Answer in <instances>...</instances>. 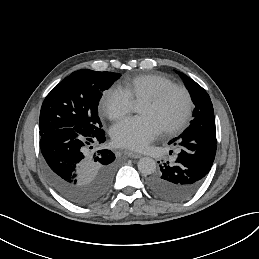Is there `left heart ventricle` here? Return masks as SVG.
I'll list each match as a JSON object with an SVG mask.
<instances>
[{
  "mask_svg": "<svg viewBox=\"0 0 259 259\" xmlns=\"http://www.w3.org/2000/svg\"><path fill=\"white\" fill-rule=\"evenodd\" d=\"M184 108V97L176 92L157 106L142 101L138 114L152 118L163 129L176 123L182 116Z\"/></svg>",
  "mask_w": 259,
  "mask_h": 259,
  "instance_id": "b2bd125f",
  "label": "left heart ventricle"
}]
</instances>
